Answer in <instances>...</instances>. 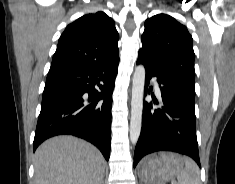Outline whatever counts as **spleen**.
I'll list each match as a JSON object with an SVG mask.
<instances>
[{"instance_id":"3e777b00","label":"spleen","mask_w":235,"mask_h":184,"mask_svg":"<svg viewBox=\"0 0 235 184\" xmlns=\"http://www.w3.org/2000/svg\"><path fill=\"white\" fill-rule=\"evenodd\" d=\"M184 170L178 176V184H201L199 168L191 158H183Z\"/></svg>"}]
</instances>
